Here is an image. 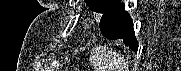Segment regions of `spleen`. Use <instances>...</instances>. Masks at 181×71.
Wrapping results in <instances>:
<instances>
[{"label": "spleen", "mask_w": 181, "mask_h": 71, "mask_svg": "<svg viewBox=\"0 0 181 71\" xmlns=\"http://www.w3.org/2000/svg\"><path fill=\"white\" fill-rule=\"evenodd\" d=\"M90 62L96 71H128L124 58L106 46L95 48Z\"/></svg>", "instance_id": "3e777b00"}]
</instances>
